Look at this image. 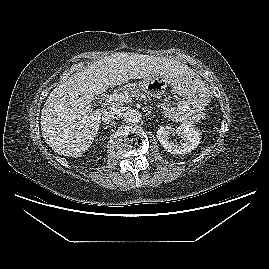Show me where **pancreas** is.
Returning <instances> with one entry per match:
<instances>
[{
	"label": "pancreas",
	"instance_id": "1",
	"mask_svg": "<svg viewBox=\"0 0 269 269\" xmlns=\"http://www.w3.org/2000/svg\"><path fill=\"white\" fill-rule=\"evenodd\" d=\"M125 92L130 96V97H135L137 99H146V96L144 94L141 93V91L135 86V85H128L127 87H125ZM161 107L163 108V112L170 117L173 120H182L185 123H188L187 120L183 119L182 117H180L176 111L169 109L168 107H166V105L161 104Z\"/></svg>",
	"mask_w": 269,
	"mask_h": 269
}]
</instances>
